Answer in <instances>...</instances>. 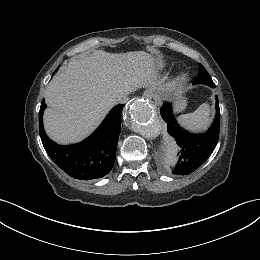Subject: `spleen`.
I'll use <instances>...</instances> for the list:
<instances>
[{
  "label": "spleen",
  "mask_w": 260,
  "mask_h": 260,
  "mask_svg": "<svg viewBox=\"0 0 260 260\" xmlns=\"http://www.w3.org/2000/svg\"><path fill=\"white\" fill-rule=\"evenodd\" d=\"M211 110L208 103L201 104L194 112L180 115L177 120L186 129L198 132L205 130L211 123Z\"/></svg>",
  "instance_id": "1"
}]
</instances>
